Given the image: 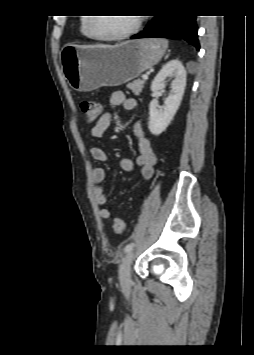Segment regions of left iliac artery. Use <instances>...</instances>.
I'll list each match as a JSON object with an SVG mask.
<instances>
[{"instance_id": "1", "label": "left iliac artery", "mask_w": 254, "mask_h": 355, "mask_svg": "<svg viewBox=\"0 0 254 355\" xmlns=\"http://www.w3.org/2000/svg\"><path fill=\"white\" fill-rule=\"evenodd\" d=\"M133 247H134L133 243L127 244L126 247H125V252L131 251L133 249Z\"/></svg>"}]
</instances>
